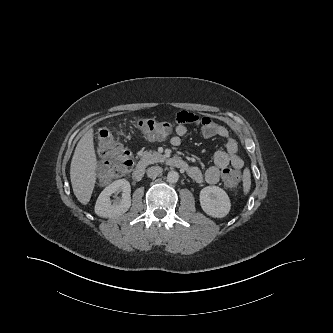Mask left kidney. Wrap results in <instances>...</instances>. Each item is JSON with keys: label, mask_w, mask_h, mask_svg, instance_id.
I'll return each instance as SVG.
<instances>
[{"label": "left kidney", "mask_w": 333, "mask_h": 333, "mask_svg": "<svg viewBox=\"0 0 333 333\" xmlns=\"http://www.w3.org/2000/svg\"><path fill=\"white\" fill-rule=\"evenodd\" d=\"M200 204L203 211L212 217L223 218L231 208L227 193L218 186H207L200 191Z\"/></svg>", "instance_id": "5707ae66"}]
</instances>
